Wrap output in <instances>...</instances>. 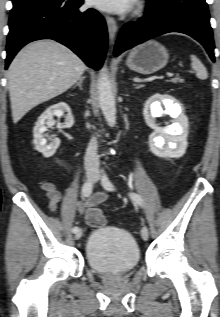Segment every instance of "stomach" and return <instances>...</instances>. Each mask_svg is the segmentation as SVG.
<instances>
[{
    "label": "stomach",
    "instance_id": "obj_1",
    "mask_svg": "<svg viewBox=\"0 0 220 317\" xmlns=\"http://www.w3.org/2000/svg\"><path fill=\"white\" fill-rule=\"evenodd\" d=\"M168 60L166 48L155 40H148L132 49L126 64L129 69L148 75L165 67Z\"/></svg>",
    "mask_w": 220,
    "mask_h": 317
}]
</instances>
